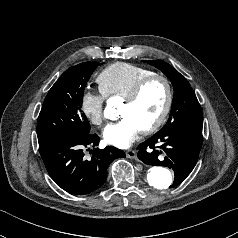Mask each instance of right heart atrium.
Returning <instances> with one entry per match:
<instances>
[{
  "instance_id": "d8ad5b80",
  "label": "right heart atrium",
  "mask_w": 238,
  "mask_h": 238,
  "mask_svg": "<svg viewBox=\"0 0 238 238\" xmlns=\"http://www.w3.org/2000/svg\"><path fill=\"white\" fill-rule=\"evenodd\" d=\"M106 96L101 90H87L81 97V110L94 125H101L104 120V105Z\"/></svg>"
}]
</instances>
